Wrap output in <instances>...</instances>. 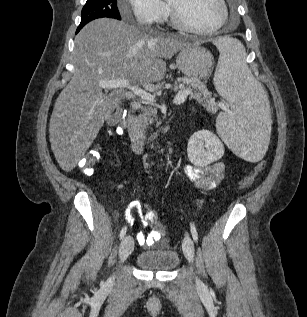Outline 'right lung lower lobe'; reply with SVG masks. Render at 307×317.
<instances>
[{
	"label": "right lung lower lobe",
	"instance_id": "obj_1",
	"mask_svg": "<svg viewBox=\"0 0 307 317\" xmlns=\"http://www.w3.org/2000/svg\"><path fill=\"white\" fill-rule=\"evenodd\" d=\"M82 27H83V26H80V25H79V27H78V29H77L76 32H78Z\"/></svg>",
	"mask_w": 307,
	"mask_h": 317
}]
</instances>
